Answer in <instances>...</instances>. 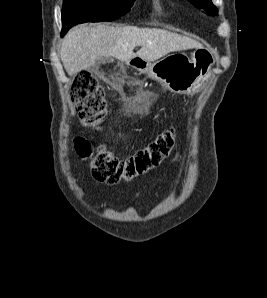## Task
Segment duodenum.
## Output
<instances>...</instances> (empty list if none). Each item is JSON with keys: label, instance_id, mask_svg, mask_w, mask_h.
Returning <instances> with one entry per match:
<instances>
[{"label": "duodenum", "instance_id": "1", "mask_svg": "<svg viewBox=\"0 0 267 298\" xmlns=\"http://www.w3.org/2000/svg\"><path fill=\"white\" fill-rule=\"evenodd\" d=\"M133 66H134V67H140V66H136V65H134V64H133Z\"/></svg>", "mask_w": 267, "mask_h": 298}]
</instances>
